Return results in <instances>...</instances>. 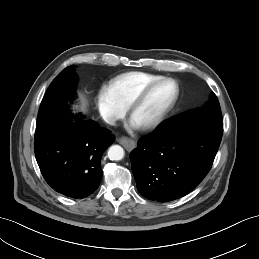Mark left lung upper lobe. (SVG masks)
<instances>
[{"instance_id":"5c2ea615","label":"left lung upper lobe","mask_w":259,"mask_h":259,"mask_svg":"<svg viewBox=\"0 0 259 259\" xmlns=\"http://www.w3.org/2000/svg\"><path fill=\"white\" fill-rule=\"evenodd\" d=\"M191 117L222 120L221 109H220L219 101H218L216 95L213 92H211L210 100L207 102V104L204 107L197 108L195 110H191L186 113H182L177 116H174V117L166 120L165 122H163L161 125H159L155 131L162 130L169 125H172L185 118H191Z\"/></svg>"}]
</instances>
